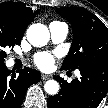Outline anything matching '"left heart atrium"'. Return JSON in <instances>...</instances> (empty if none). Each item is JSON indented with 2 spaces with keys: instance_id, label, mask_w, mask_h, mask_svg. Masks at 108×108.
Wrapping results in <instances>:
<instances>
[{
  "instance_id": "1",
  "label": "left heart atrium",
  "mask_w": 108,
  "mask_h": 108,
  "mask_svg": "<svg viewBox=\"0 0 108 108\" xmlns=\"http://www.w3.org/2000/svg\"><path fill=\"white\" fill-rule=\"evenodd\" d=\"M35 63L40 69L49 70L54 63V58L48 53H41L35 57Z\"/></svg>"
}]
</instances>
